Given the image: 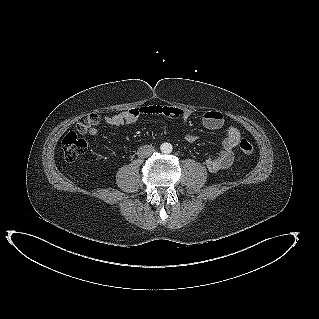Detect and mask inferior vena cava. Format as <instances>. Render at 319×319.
Wrapping results in <instances>:
<instances>
[{
    "label": "inferior vena cava",
    "instance_id": "inferior-vena-cava-1",
    "mask_svg": "<svg viewBox=\"0 0 319 319\" xmlns=\"http://www.w3.org/2000/svg\"><path fill=\"white\" fill-rule=\"evenodd\" d=\"M155 149L151 145H144L138 149V156L141 158H146L154 153Z\"/></svg>",
    "mask_w": 319,
    "mask_h": 319
}]
</instances>
